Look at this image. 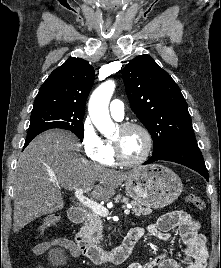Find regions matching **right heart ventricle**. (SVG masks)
I'll return each instance as SVG.
<instances>
[{"label":"right heart ventricle","mask_w":221,"mask_h":268,"mask_svg":"<svg viewBox=\"0 0 221 268\" xmlns=\"http://www.w3.org/2000/svg\"><path fill=\"white\" fill-rule=\"evenodd\" d=\"M105 147H106L105 154L102 160L100 161V163L104 165H108V166L114 165L115 157H114L112 142L109 140H105Z\"/></svg>","instance_id":"right-heart-ventricle-1"}]
</instances>
